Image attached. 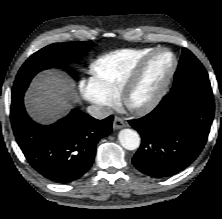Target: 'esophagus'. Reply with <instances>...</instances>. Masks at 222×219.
<instances>
[{
	"label": "esophagus",
	"instance_id": "esophagus-1",
	"mask_svg": "<svg viewBox=\"0 0 222 219\" xmlns=\"http://www.w3.org/2000/svg\"><path fill=\"white\" fill-rule=\"evenodd\" d=\"M123 127H125L124 120L119 116H115L114 121H113V129L118 130Z\"/></svg>",
	"mask_w": 222,
	"mask_h": 219
}]
</instances>
